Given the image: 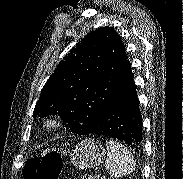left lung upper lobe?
<instances>
[{
  "label": "left lung upper lobe",
  "instance_id": "5c2ea615",
  "mask_svg": "<svg viewBox=\"0 0 183 179\" xmlns=\"http://www.w3.org/2000/svg\"><path fill=\"white\" fill-rule=\"evenodd\" d=\"M126 54L111 27L88 33L57 65L34 109L55 114L78 135L90 134L113 100Z\"/></svg>",
  "mask_w": 183,
  "mask_h": 179
}]
</instances>
